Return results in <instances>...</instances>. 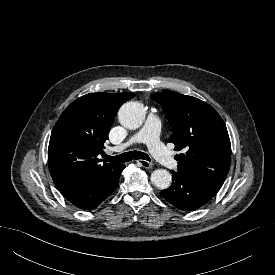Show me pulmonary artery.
<instances>
[{
	"label": "pulmonary artery",
	"instance_id": "e3ab8cb5",
	"mask_svg": "<svg viewBox=\"0 0 275 275\" xmlns=\"http://www.w3.org/2000/svg\"><path fill=\"white\" fill-rule=\"evenodd\" d=\"M160 120L155 112H150L144 127L130 138L126 143L120 145L124 149L133 143H145L154 158L162 165L176 169L178 162L173 158L160 139Z\"/></svg>",
	"mask_w": 275,
	"mask_h": 275
}]
</instances>
